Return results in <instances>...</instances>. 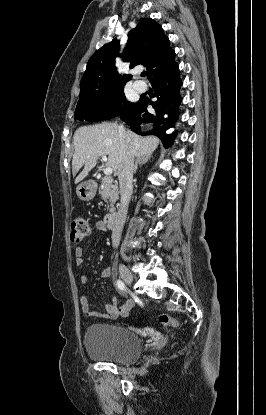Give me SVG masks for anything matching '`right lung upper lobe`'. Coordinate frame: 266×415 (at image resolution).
<instances>
[{
  "label": "right lung upper lobe",
  "instance_id": "1",
  "mask_svg": "<svg viewBox=\"0 0 266 415\" xmlns=\"http://www.w3.org/2000/svg\"><path fill=\"white\" fill-rule=\"evenodd\" d=\"M119 41L114 39L97 50L89 59L80 82V98L120 87L132 75L120 77L115 67L119 56ZM120 57L131 62L130 68L142 64L151 80L176 65L175 52L162 27L153 19H142L128 34V41Z\"/></svg>",
  "mask_w": 266,
  "mask_h": 415
}]
</instances>
